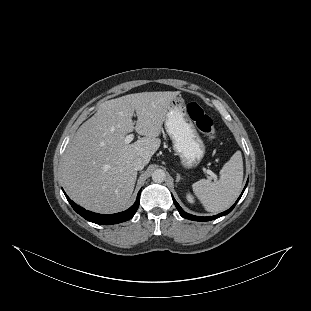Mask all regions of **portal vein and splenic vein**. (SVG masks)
<instances>
[{"instance_id":"1","label":"portal vein and splenic vein","mask_w":311,"mask_h":311,"mask_svg":"<svg viewBox=\"0 0 311 311\" xmlns=\"http://www.w3.org/2000/svg\"><path fill=\"white\" fill-rule=\"evenodd\" d=\"M135 139V133H130L128 135H126L125 137V142L126 143H131L133 140ZM206 175H210L211 178L215 179L216 180V175L211 171V170H207L205 172Z\"/></svg>"}]
</instances>
